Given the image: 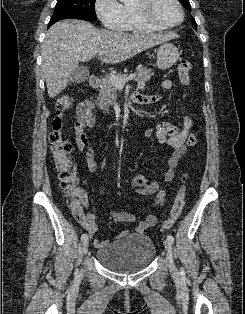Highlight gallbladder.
<instances>
[{
  "label": "gallbladder",
  "instance_id": "bac80fb5",
  "mask_svg": "<svg viewBox=\"0 0 245 314\" xmlns=\"http://www.w3.org/2000/svg\"><path fill=\"white\" fill-rule=\"evenodd\" d=\"M90 75L89 69L83 66H78L71 74H70V82L74 84H79L88 79Z\"/></svg>",
  "mask_w": 245,
  "mask_h": 314
}]
</instances>
